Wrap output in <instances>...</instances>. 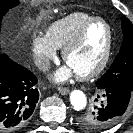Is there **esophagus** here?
Here are the masks:
<instances>
[{"instance_id": "34e87169", "label": "esophagus", "mask_w": 133, "mask_h": 133, "mask_svg": "<svg viewBox=\"0 0 133 133\" xmlns=\"http://www.w3.org/2000/svg\"><path fill=\"white\" fill-rule=\"evenodd\" d=\"M58 92L62 95H66L70 92V89L68 87H59Z\"/></svg>"}]
</instances>
